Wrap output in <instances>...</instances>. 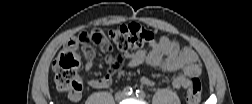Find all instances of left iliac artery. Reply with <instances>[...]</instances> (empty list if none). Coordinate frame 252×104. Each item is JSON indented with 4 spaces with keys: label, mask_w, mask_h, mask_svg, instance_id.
I'll use <instances>...</instances> for the list:
<instances>
[{
    "label": "left iliac artery",
    "mask_w": 252,
    "mask_h": 104,
    "mask_svg": "<svg viewBox=\"0 0 252 104\" xmlns=\"http://www.w3.org/2000/svg\"><path fill=\"white\" fill-rule=\"evenodd\" d=\"M135 94L139 98H144L145 97V92L143 90H141V89H137Z\"/></svg>",
    "instance_id": "44dca946"
}]
</instances>
